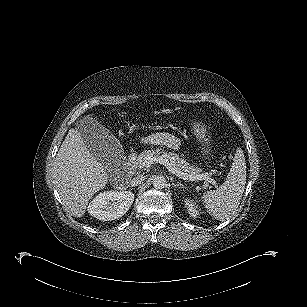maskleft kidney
<instances>
[{"label": "left kidney", "mask_w": 307, "mask_h": 307, "mask_svg": "<svg viewBox=\"0 0 307 307\" xmlns=\"http://www.w3.org/2000/svg\"><path fill=\"white\" fill-rule=\"evenodd\" d=\"M184 202H185V207L188 209L190 217L197 218L201 214V212H199V210L197 209L196 203L194 202L193 199L186 198Z\"/></svg>", "instance_id": "1"}]
</instances>
